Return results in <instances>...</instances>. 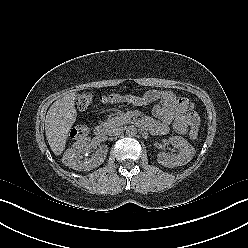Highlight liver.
<instances>
[{
  "instance_id": "obj_1",
  "label": "liver",
  "mask_w": 248,
  "mask_h": 248,
  "mask_svg": "<svg viewBox=\"0 0 248 248\" xmlns=\"http://www.w3.org/2000/svg\"><path fill=\"white\" fill-rule=\"evenodd\" d=\"M75 96V92L66 94L55 101L47 112L46 137L55 155H60L64 151L68 133L76 121Z\"/></svg>"
}]
</instances>
